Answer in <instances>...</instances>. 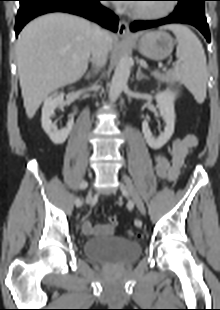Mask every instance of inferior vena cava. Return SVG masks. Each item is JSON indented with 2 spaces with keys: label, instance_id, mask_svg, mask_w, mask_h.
Here are the masks:
<instances>
[{
  "label": "inferior vena cava",
  "instance_id": "602c4592",
  "mask_svg": "<svg viewBox=\"0 0 220 310\" xmlns=\"http://www.w3.org/2000/svg\"><path fill=\"white\" fill-rule=\"evenodd\" d=\"M91 54L92 62L97 68L106 64L108 56L107 33L96 24L92 25Z\"/></svg>",
  "mask_w": 220,
  "mask_h": 310
}]
</instances>
